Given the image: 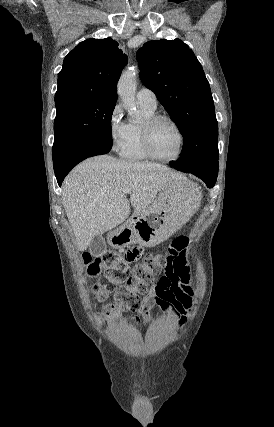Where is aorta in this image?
I'll return each instance as SVG.
<instances>
[{"instance_id":"obj_1","label":"aorta","mask_w":274,"mask_h":427,"mask_svg":"<svg viewBox=\"0 0 274 427\" xmlns=\"http://www.w3.org/2000/svg\"><path fill=\"white\" fill-rule=\"evenodd\" d=\"M137 73L138 69L136 67L129 68L122 73L117 84V93L121 98L123 107L128 111L131 117L138 115L135 104Z\"/></svg>"}]
</instances>
